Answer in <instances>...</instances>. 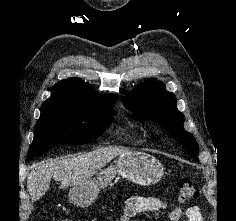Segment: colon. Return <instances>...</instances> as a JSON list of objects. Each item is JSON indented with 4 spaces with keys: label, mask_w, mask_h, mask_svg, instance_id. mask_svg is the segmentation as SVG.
Segmentation results:
<instances>
[{
    "label": "colon",
    "mask_w": 236,
    "mask_h": 221,
    "mask_svg": "<svg viewBox=\"0 0 236 221\" xmlns=\"http://www.w3.org/2000/svg\"><path fill=\"white\" fill-rule=\"evenodd\" d=\"M179 198L181 201H189L198 197V190L189 179H181L177 183ZM61 221H71L69 218H62Z\"/></svg>",
    "instance_id": "1"
}]
</instances>
